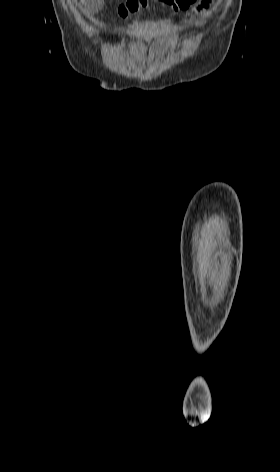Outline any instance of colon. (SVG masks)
Listing matches in <instances>:
<instances>
[{
  "label": "colon",
  "mask_w": 280,
  "mask_h": 472,
  "mask_svg": "<svg viewBox=\"0 0 280 472\" xmlns=\"http://www.w3.org/2000/svg\"><path fill=\"white\" fill-rule=\"evenodd\" d=\"M153 1L162 7L175 6L180 0H127L118 7L117 15L121 19L137 15L141 10L148 7L149 2Z\"/></svg>",
  "instance_id": "1"
}]
</instances>
